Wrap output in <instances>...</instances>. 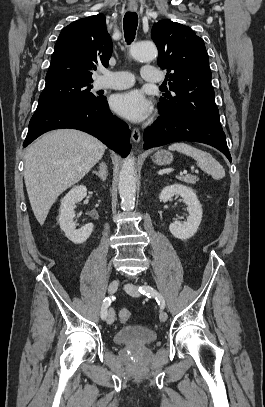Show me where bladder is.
I'll use <instances>...</instances> for the list:
<instances>
[{
	"instance_id": "bladder-1",
	"label": "bladder",
	"mask_w": 265,
	"mask_h": 407,
	"mask_svg": "<svg viewBox=\"0 0 265 407\" xmlns=\"http://www.w3.org/2000/svg\"><path fill=\"white\" fill-rule=\"evenodd\" d=\"M157 338V333L147 327L129 325L121 328L114 335V342L119 345L145 346Z\"/></svg>"
}]
</instances>
